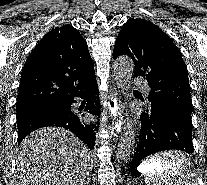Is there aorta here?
Instances as JSON below:
<instances>
[{"mask_svg": "<svg viewBox=\"0 0 207 185\" xmlns=\"http://www.w3.org/2000/svg\"><path fill=\"white\" fill-rule=\"evenodd\" d=\"M114 77L117 87L123 94L129 96L131 89V78L134 72V63L128 56L117 58L113 65ZM135 150V130L132 120H128L124 126L116 150V167L118 171H126L128 163L132 160ZM124 177L120 176L119 182H123Z\"/></svg>", "mask_w": 207, "mask_h": 185, "instance_id": "762f6f07", "label": "aorta"}]
</instances>
